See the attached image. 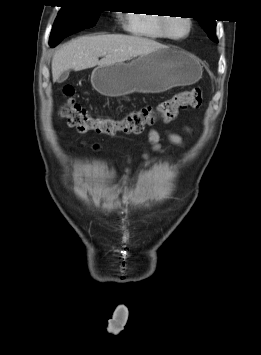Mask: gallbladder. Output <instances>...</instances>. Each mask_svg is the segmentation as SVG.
I'll return each mask as SVG.
<instances>
[{"label":"gallbladder","instance_id":"bac80fb5","mask_svg":"<svg viewBox=\"0 0 261 355\" xmlns=\"http://www.w3.org/2000/svg\"><path fill=\"white\" fill-rule=\"evenodd\" d=\"M68 76H69V71L66 70V71L62 72L61 75L59 76V78L57 79V82L63 83L64 81L67 80Z\"/></svg>","mask_w":261,"mask_h":355}]
</instances>
